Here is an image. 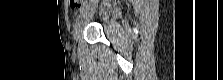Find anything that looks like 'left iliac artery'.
I'll return each mask as SVG.
<instances>
[{
	"label": "left iliac artery",
	"mask_w": 223,
	"mask_h": 80,
	"mask_svg": "<svg viewBox=\"0 0 223 80\" xmlns=\"http://www.w3.org/2000/svg\"><path fill=\"white\" fill-rule=\"evenodd\" d=\"M85 10H86V5L84 4V5L80 8V12H79L78 18L81 17V15L85 12Z\"/></svg>",
	"instance_id": "obj_1"
}]
</instances>
